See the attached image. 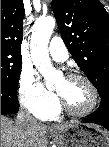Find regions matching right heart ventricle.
Returning <instances> with one entry per match:
<instances>
[{
  "label": "right heart ventricle",
  "instance_id": "obj_1",
  "mask_svg": "<svg viewBox=\"0 0 109 147\" xmlns=\"http://www.w3.org/2000/svg\"><path fill=\"white\" fill-rule=\"evenodd\" d=\"M61 108L59 107H53L51 109H48L46 111H43L39 114H37L36 116L39 117H44L45 120H49V119H56L60 116L61 114Z\"/></svg>",
  "mask_w": 109,
  "mask_h": 147
}]
</instances>
